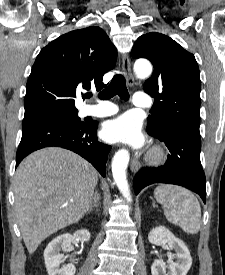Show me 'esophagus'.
Masks as SVG:
<instances>
[{
    "mask_svg": "<svg viewBox=\"0 0 225 275\" xmlns=\"http://www.w3.org/2000/svg\"><path fill=\"white\" fill-rule=\"evenodd\" d=\"M122 70L123 73L126 77L127 83L129 86H133L134 84V77L131 71V62H130V58L128 56V54H124L122 56ZM140 168V163L139 161L134 158L131 161V170L132 172H137Z\"/></svg>",
    "mask_w": 225,
    "mask_h": 275,
    "instance_id": "esophagus-1",
    "label": "esophagus"
}]
</instances>
